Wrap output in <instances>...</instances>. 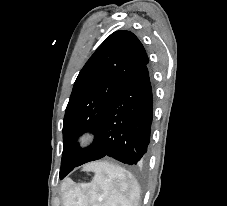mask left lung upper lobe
I'll return each instance as SVG.
<instances>
[{
  "mask_svg": "<svg viewBox=\"0 0 227 206\" xmlns=\"http://www.w3.org/2000/svg\"><path fill=\"white\" fill-rule=\"evenodd\" d=\"M149 62L146 51L130 31L112 33L80 71L66 108L60 172L73 168L87 153L75 139L83 132L97 134L105 112L123 86Z\"/></svg>",
  "mask_w": 227,
  "mask_h": 206,
  "instance_id": "left-lung-upper-lobe-1",
  "label": "left lung upper lobe"
}]
</instances>
